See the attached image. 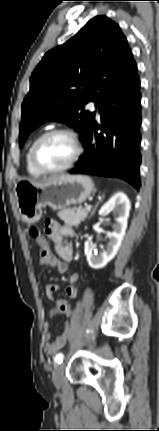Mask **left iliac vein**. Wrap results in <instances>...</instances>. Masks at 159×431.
<instances>
[{
	"label": "left iliac vein",
	"mask_w": 159,
	"mask_h": 431,
	"mask_svg": "<svg viewBox=\"0 0 159 431\" xmlns=\"http://www.w3.org/2000/svg\"><path fill=\"white\" fill-rule=\"evenodd\" d=\"M65 371V363H59L53 372V383L57 389L62 386Z\"/></svg>",
	"instance_id": "1"
}]
</instances>
